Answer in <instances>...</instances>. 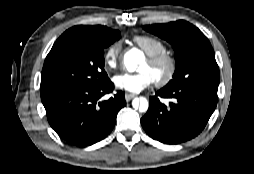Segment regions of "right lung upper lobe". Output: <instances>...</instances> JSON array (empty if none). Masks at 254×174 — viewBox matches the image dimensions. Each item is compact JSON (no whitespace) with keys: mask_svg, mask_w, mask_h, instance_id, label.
Wrapping results in <instances>:
<instances>
[{"mask_svg":"<svg viewBox=\"0 0 254 174\" xmlns=\"http://www.w3.org/2000/svg\"><path fill=\"white\" fill-rule=\"evenodd\" d=\"M67 31L81 33L93 38H103L111 34L115 30H112L108 27L101 26V25H96V26L78 25V26L72 27L71 29H68Z\"/></svg>","mask_w":254,"mask_h":174,"instance_id":"1","label":"right lung upper lobe"}]
</instances>
